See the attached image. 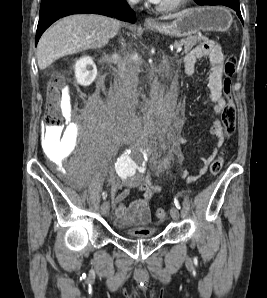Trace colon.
I'll list each match as a JSON object with an SVG mask.
<instances>
[{"label":"colon","mask_w":267,"mask_h":298,"mask_svg":"<svg viewBox=\"0 0 267 298\" xmlns=\"http://www.w3.org/2000/svg\"><path fill=\"white\" fill-rule=\"evenodd\" d=\"M236 69V59L234 57H229L224 65V91L229 95L230 79L234 75ZM60 78L58 76H53L49 81V88L51 91L50 101L47 106V112L45 115V126L46 127H56L62 124V118L59 113V97L58 92L60 88ZM222 124L225 135H229L233 132L236 126V112L234 105L229 97L227 106L222 114ZM223 157L218 156L210 165L209 173L210 176H216L222 169ZM156 217L159 220H165L167 217V212L164 208H158L155 212Z\"/></svg>","instance_id":"obj_1"}]
</instances>
